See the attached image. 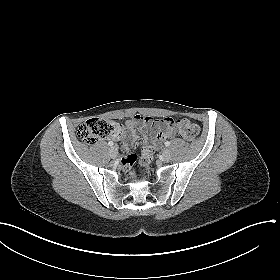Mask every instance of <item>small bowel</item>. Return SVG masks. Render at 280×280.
Segmentation results:
<instances>
[{
    "label": "small bowel",
    "mask_w": 280,
    "mask_h": 280,
    "mask_svg": "<svg viewBox=\"0 0 280 280\" xmlns=\"http://www.w3.org/2000/svg\"><path fill=\"white\" fill-rule=\"evenodd\" d=\"M151 128H157L158 131L154 138H149L148 130ZM126 134L118 133L113 136L115 139H123V147L129 148L135 140L139 137V132H142L145 137L147 146H151L153 149L161 146L163 141L167 138L173 137L178 133L172 127V119L164 118L161 120H155L150 116L135 115L132 119L126 122Z\"/></svg>",
    "instance_id": "small-bowel-1"
}]
</instances>
